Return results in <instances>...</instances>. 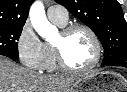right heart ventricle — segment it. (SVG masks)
<instances>
[{"mask_svg": "<svg viewBox=\"0 0 127 92\" xmlns=\"http://www.w3.org/2000/svg\"><path fill=\"white\" fill-rule=\"evenodd\" d=\"M51 21L59 27L66 26V22H60V21L53 20V19H51ZM44 48H45V55L46 56H45V62H44L42 70L47 71V72L57 71L59 68L56 63L55 54H54L52 44L46 42V43H44Z\"/></svg>", "mask_w": 127, "mask_h": 92, "instance_id": "e07e8e85", "label": "right heart ventricle"}]
</instances>
